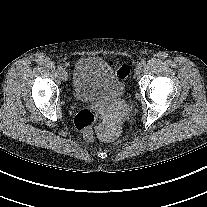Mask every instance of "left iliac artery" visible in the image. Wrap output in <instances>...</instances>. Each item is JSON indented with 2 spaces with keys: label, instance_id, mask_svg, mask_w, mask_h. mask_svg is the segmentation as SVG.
<instances>
[{
  "label": "left iliac artery",
  "instance_id": "left-iliac-artery-1",
  "mask_svg": "<svg viewBox=\"0 0 207 207\" xmlns=\"http://www.w3.org/2000/svg\"><path fill=\"white\" fill-rule=\"evenodd\" d=\"M139 64L141 65V67H144L146 65V61L143 60Z\"/></svg>",
  "mask_w": 207,
  "mask_h": 207
}]
</instances>
